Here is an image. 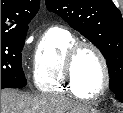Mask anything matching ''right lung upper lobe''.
I'll return each instance as SVG.
<instances>
[{
    "label": "right lung upper lobe",
    "instance_id": "cb5924a9",
    "mask_svg": "<svg viewBox=\"0 0 123 113\" xmlns=\"http://www.w3.org/2000/svg\"><path fill=\"white\" fill-rule=\"evenodd\" d=\"M40 0H1V38L26 35Z\"/></svg>",
    "mask_w": 123,
    "mask_h": 113
}]
</instances>
